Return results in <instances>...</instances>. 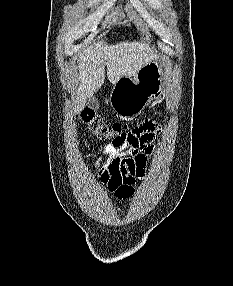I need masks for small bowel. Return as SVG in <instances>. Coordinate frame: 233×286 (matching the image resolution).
I'll return each mask as SVG.
<instances>
[{
	"label": "small bowel",
	"mask_w": 233,
	"mask_h": 286,
	"mask_svg": "<svg viewBox=\"0 0 233 286\" xmlns=\"http://www.w3.org/2000/svg\"><path fill=\"white\" fill-rule=\"evenodd\" d=\"M160 132V126L146 121L140 132L103 147L106 159L98 161L95 168L101 184L116 198L127 200L134 194L135 184L144 176L147 157L154 152V141Z\"/></svg>",
	"instance_id": "small-bowel-1"
}]
</instances>
